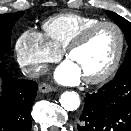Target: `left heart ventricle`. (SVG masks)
Returning <instances> with one entry per match:
<instances>
[{
  "label": "left heart ventricle",
  "mask_w": 131,
  "mask_h": 131,
  "mask_svg": "<svg viewBox=\"0 0 131 131\" xmlns=\"http://www.w3.org/2000/svg\"><path fill=\"white\" fill-rule=\"evenodd\" d=\"M119 37L112 27L98 29L81 48L74 51L68 58L81 76L93 77L106 70L115 58L118 50Z\"/></svg>",
  "instance_id": "obj_1"
}]
</instances>
